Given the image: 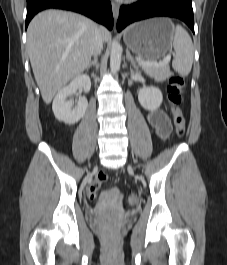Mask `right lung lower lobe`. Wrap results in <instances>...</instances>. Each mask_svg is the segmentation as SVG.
<instances>
[{
	"label": "right lung lower lobe",
	"instance_id": "right-lung-lower-lobe-1",
	"mask_svg": "<svg viewBox=\"0 0 227 265\" xmlns=\"http://www.w3.org/2000/svg\"><path fill=\"white\" fill-rule=\"evenodd\" d=\"M48 8L75 11L105 25L109 30L113 27L111 4L106 0H27L26 28L35 14Z\"/></svg>",
	"mask_w": 227,
	"mask_h": 265
}]
</instances>
